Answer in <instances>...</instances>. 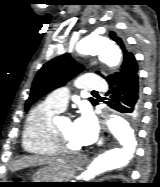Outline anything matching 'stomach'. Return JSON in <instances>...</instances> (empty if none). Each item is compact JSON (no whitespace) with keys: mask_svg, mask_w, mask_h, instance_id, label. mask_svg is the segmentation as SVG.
<instances>
[{"mask_svg":"<svg viewBox=\"0 0 160 187\" xmlns=\"http://www.w3.org/2000/svg\"><path fill=\"white\" fill-rule=\"evenodd\" d=\"M78 163L74 158H63L40 168L31 182H69L74 176ZM64 183H32L33 187H56Z\"/></svg>","mask_w":160,"mask_h":187,"instance_id":"stomach-1","label":"stomach"}]
</instances>
